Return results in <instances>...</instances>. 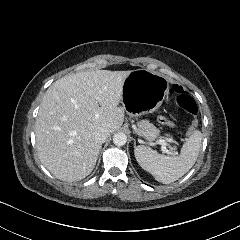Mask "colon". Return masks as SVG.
I'll return each instance as SVG.
<instances>
[{
    "label": "colon",
    "mask_w": 240,
    "mask_h": 240,
    "mask_svg": "<svg viewBox=\"0 0 240 240\" xmlns=\"http://www.w3.org/2000/svg\"><path fill=\"white\" fill-rule=\"evenodd\" d=\"M177 104L179 107L184 109L189 115L193 117L192 125L186 128V134L190 135L191 132H195V129H198V120H197L198 107L195 101L186 95H183L177 98ZM162 125L168 126V128H173V119H167L166 116H163Z\"/></svg>",
    "instance_id": "obj_1"
}]
</instances>
